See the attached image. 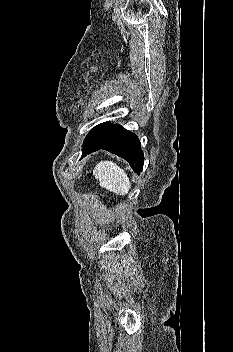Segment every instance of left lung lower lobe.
Listing matches in <instances>:
<instances>
[{
	"label": "left lung lower lobe",
	"mask_w": 233,
	"mask_h": 352,
	"mask_svg": "<svg viewBox=\"0 0 233 352\" xmlns=\"http://www.w3.org/2000/svg\"><path fill=\"white\" fill-rule=\"evenodd\" d=\"M100 149L122 157L136 173L142 171L144 155L140 141L134 133L122 126L118 124L111 125L97 137L86 143L82 149V157Z\"/></svg>",
	"instance_id": "left-lung-lower-lobe-1"
}]
</instances>
